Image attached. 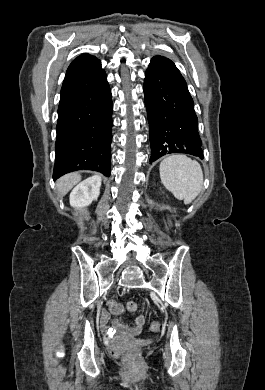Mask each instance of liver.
I'll list each match as a JSON object with an SVG mask.
<instances>
[{"label": "liver", "instance_id": "liver-1", "mask_svg": "<svg viewBox=\"0 0 265 390\" xmlns=\"http://www.w3.org/2000/svg\"><path fill=\"white\" fill-rule=\"evenodd\" d=\"M80 180L81 175L78 173H71L61 177L57 181V188L60 195H66Z\"/></svg>", "mask_w": 265, "mask_h": 390}]
</instances>
